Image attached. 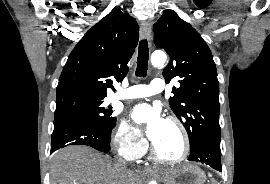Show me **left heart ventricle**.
Returning <instances> with one entry per match:
<instances>
[{"instance_id":"b2bd125f","label":"left heart ventricle","mask_w":270,"mask_h":184,"mask_svg":"<svg viewBox=\"0 0 270 184\" xmlns=\"http://www.w3.org/2000/svg\"><path fill=\"white\" fill-rule=\"evenodd\" d=\"M154 145L162 157L168 159L178 157L182 152V138L177 127L166 121L164 129Z\"/></svg>"}]
</instances>
